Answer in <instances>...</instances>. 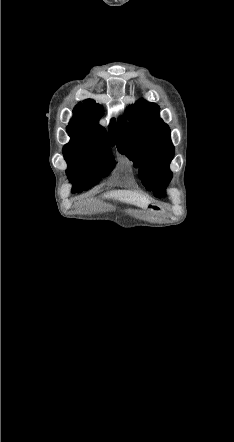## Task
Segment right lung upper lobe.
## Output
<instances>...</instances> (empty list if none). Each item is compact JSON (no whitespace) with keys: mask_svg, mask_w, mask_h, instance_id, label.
Here are the masks:
<instances>
[{"mask_svg":"<svg viewBox=\"0 0 234 442\" xmlns=\"http://www.w3.org/2000/svg\"><path fill=\"white\" fill-rule=\"evenodd\" d=\"M102 112V107L94 100L87 99L84 103H79L73 110L74 115L67 126V131L89 146L115 145L114 123L109 125V135L98 124Z\"/></svg>","mask_w":234,"mask_h":442,"instance_id":"right-lung-upper-lobe-1","label":"right lung upper lobe"}]
</instances>
